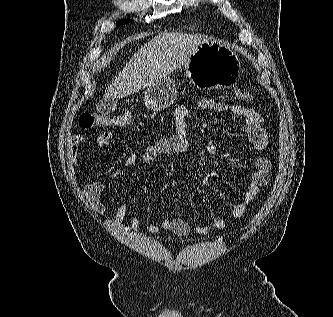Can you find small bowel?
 <instances>
[{
  "instance_id": "small-bowel-1",
  "label": "small bowel",
  "mask_w": 333,
  "mask_h": 317,
  "mask_svg": "<svg viewBox=\"0 0 333 317\" xmlns=\"http://www.w3.org/2000/svg\"><path fill=\"white\" fill-rule=\"evenodd\" d=\"M196 106L205 111L229 112L232 115L243 119L245 122L247 138L252 146L259 151H263L267 147L268 135L263 125V118L255 109L238 104H226L212 99H201L197 101ZM188 115V105L181 104L177 106L173 112L176 133L148 145L140 156L135 152L129 153L123 163L113 170L111 178L118 177L124 169L134 165L137 161H141L145 165H150L164 156L187 154L190 151L186 126V118ZM113 138V133L104 132L97 137L96 145L98 148H102ZM83 142L84 137L81 134H74L68 140L67 158L71 166L76 165L79 147ZM271 169L272 164L267 157L261 156L255 160L246 191L237 204L232 208L230 213L231 218L238 219L244 215L249 205L258 195L259 189L269 183ZM107 189L108 185L93 182L87 183L83 188L84 196L89 201L92 208L99 214H103L105 210L101 198ZM127 212V204L123 201L120 202L114 215V222L116 225L120 226L123 223L127 216ZM226 225L227 222L223 218H217L212 223L213 228L218 230L224 229ZM130 228L133 231L138 230L139 220L136 216L131 218ZM160 229L171 231L180 236L189 235L191 232L199 235H206L210 230L206 225L191 227L181 217L166 218L160 223H152L147 227V231L150 234H155L159 232Z\"/></svg>"
}]
</instances>
